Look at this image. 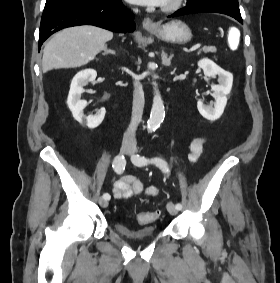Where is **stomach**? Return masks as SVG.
<instances>
[{"mask_svg":"<svg viewBox=\"0 0 280 283\" xmlns=\"http://www.w3.org/2000/svg\"><path fill=\"white\" fill-rule=\"evenodd\" d=\"M157 38L172 43L184 44L192 39L190 28L180 20H173L150 30Z\"/></svg>","mask_w":280,"mask_h":283,"instance_id":"0dacf381","label":"stomach"}]
</instances>
